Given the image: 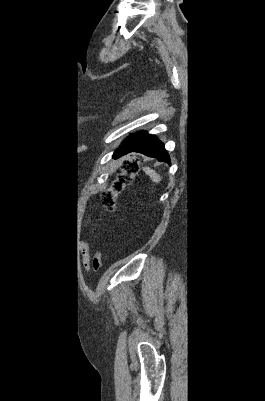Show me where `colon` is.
Wrapping results in <instances>:
<instances>
[{"mask_svg":"<svg viewBox=\"0 0 265 401\" xmlns=\"http://www.w3.org/2000/svg\"><path fill=\"white\" fill-rule=\"evenodd\" d=\"M138 171L139 166L135 158L132 157L124 162L121 172L113 181L110 188L101 195V204L107 212H113L115 210L118 196L132 183ZM92 267L96 272L101 269L102 256L100 252L94 255Z\"/></svg>","mask_w":265,"mask_h":401,"instance_id":"5ec220e1","label":"colon"}]
</instances>
